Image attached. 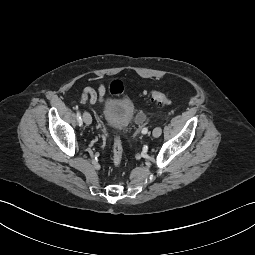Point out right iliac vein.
I'll use <instances>...</instances> for the list:
<instances>
[{"instance_id":"1","label":"right iliac vein","mask_w":255,"mask_h":255,"mask_svg":"<svg viewBox=\"0 0 255 255\" xmlns=\"http://www.w3.org/2000/svg\"><path fill=\"white\" fill-rule=\"evenodd\" d=\"M83 120L86 125H90L92 123V117L88 112L83 113Z\"/></svg>"}]
</instances>
